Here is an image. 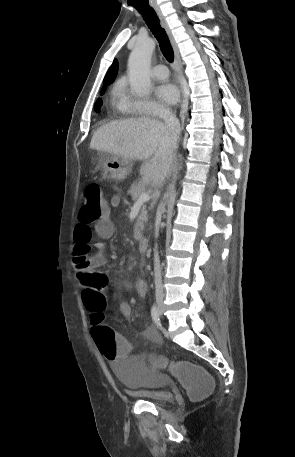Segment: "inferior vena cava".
Wrapping results in <instances>:
<instances>
[{
	"label": "inferior vena cava",
	"mask_w": 295,
	"mask_h": 457,
	"mask_svg": "<svg viewBox=\"0 0 295 457\" xmlns=\"http://www.w3.org/2000/svg\"><path fill=\"white\" fill-rule=\"evenodd\" d=\"M160 118L163 119L166 127L168 128L171 138L173 140H177L178 135L180 133V123L177 117L170 111L169 109H163L160 112ZM169 173V172H168ZM157 223L161 221V208L157 211ZM159 235V226L155 229V237L157 238ZM154 282H155V292H156V299L163 298V284H162V276L160 270V258L157 249L154 250Z\"/></svg>",
	"instance_id": "1"
}]
</instances>
